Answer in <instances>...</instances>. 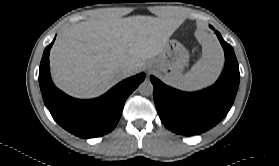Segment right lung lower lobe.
I'll list each match as a JSON object with an SVG mask.
<instances>
[{"instance_id": "obj_1", "label": "right lung lower lobe", "mask_w": 279, "mask_h": 166, "mask_svg": "<svg viewBox=\"0 0 279 166\" xmlns=\"http://www.w3.org/2000/svg\"><path fill=\"white\" fill-rule=\"evenodd\" d=\"M44 50L39 69V84L44 103L54 120L70 133L82 138L105 135L117 125L128 96L145 79L140 73L128 78L103 96L92 100H78L57 89L50 77L49 52Z\"/></svg>"}]
</instances>
